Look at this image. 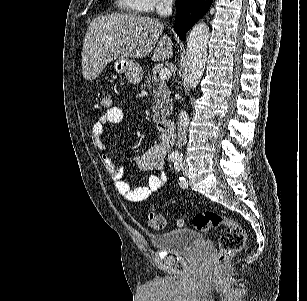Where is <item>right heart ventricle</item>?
<instances>
[{"instance_id": "1", "label": "right heart ventricle", "mask_w": 307, "mask_h": 301, "mask_svg": "<svg viewBox=\"0 0 307 301\" xmlns=\"http://www.w3.org/2000/svg\"><path fill=\"white\" fill-rule=\"evenodd\" d=\"M141 0H121V4H128L126 7L127 11H130L131 8H140Z\"/></svg>"}]
</instances>
